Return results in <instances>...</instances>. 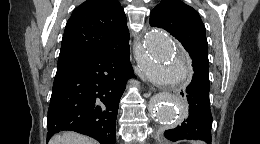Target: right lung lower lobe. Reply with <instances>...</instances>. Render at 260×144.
<instances>
[{
    "label": "right lung lower lobe",
    "mask_w": 260,
    "mask_h": 144,
    "mask_svg": "<svg viewBox=\"0 0 260 144\" xmlns=\"http://www.w3.org/2000/svg\"><path fill=\"white\" fill-rule=\"evenodd\" d=\"M135 77L129 44L58 64L48 109L49 140L63 130L115 144L119 101Z\"/></svg>",
    "instance_id": "obj_1"
}]
</instances>
